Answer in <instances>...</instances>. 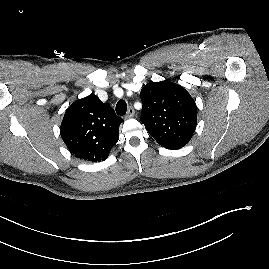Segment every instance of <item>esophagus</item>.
Instances as JSON below:
<instances>
[{
    "instance_id": "1",
    "label": "esophagus",
    "mask_w": 269,
    "mask_h": 269,
    "mask_svg": "<svg viewBox=\"0 0 269 269\" xmlns=\"http://www.w3.org/2000/svg\"><path fill=\"white\" fill-rule=\"evenodd\" d=\"M135 114V111L132 107H129L128 110H127V114H126V117L127 118H132Z\"/></svg>"
}]
</instances>
